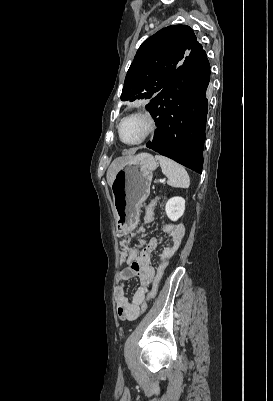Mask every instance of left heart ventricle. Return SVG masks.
<instances>
[{
	"label": "left heart ventricle",
	"instance_id": "obj_1",
	"mask_svg": "<svg viewBox=\"0 0 273 401\" xmlns=\"http://www.w3.org/2000/svg\"><path fill=\"white\" fill-rule=\"evenodd\" d=\"M145 123L136 117H129L123 121L120 128L121 138L125 142H134L145 133Z\"/></svg>",
	"mask_w": 273,
	"mask_h": 401
}]
</instances>
